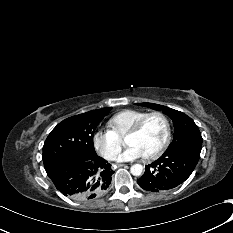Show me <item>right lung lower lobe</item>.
<instances>
[{
  "label": "right lung lower lobe",
  "instance_id": "right-lung-lower-lobe-1",
  "mask_svg": "<svg viewBox=\"0 0 233 233\" xmlns=\"http://www.w3.org/2000/svg\"><path fill=\"white\" fill-rule=\"evenodd\" d=\"M114 171L98 155L88 159L74 157L58 165L48 174L56 188L76 200H90L109 187Z\"/></svg>",
  "mask_w": 233,
  "mask_h": 233
}]
</instances>
